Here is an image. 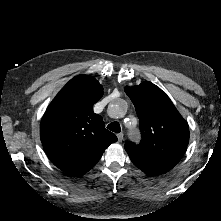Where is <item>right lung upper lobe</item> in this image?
Returning a JSON list of instances; mask_svg holds the SVG:
<instances>
[{
    "label": "right lung upper lobe",
    "instance_id": "right-lung-upper-lobe-1",
    "mask_svg": "<svg viewBox=\"0 0 221 221\" xmlns=\"http://www.w3.org/2000/svg\"><path fill=\"white\" fill-rule=\"evenodd\" d=\"M103 87L89 75L71 79L56 95L43 115L40 136L44 150L60 169L85 160L98 159L117 141L105 128L93 105Z\"/></svg>",
    "mask_w": 221,
    "mask_h": 221
}]
</instances>
